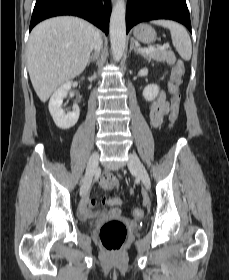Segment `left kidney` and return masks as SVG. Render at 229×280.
Returning a JSON list of instances; mask_svg holds the SVG:
<instances>
[{
	"label": "left kidney",
	"mask_w": 229,
	"mask_h": 280,
	"mask_svg": "<svg viewBox=\"0 0 229 280\" xmlns=\"http://www.w3.org/2000/svg\"><path fill=\"white\" fill-rule=\"evenodd\" d=\"M158 92H159V87L155 84H150L144 88L143 97L147 101H151V100L155 99V97L158 95Z\"/></svg>",
	"instance_id": "left-kidney-1"
}]
</instances>
